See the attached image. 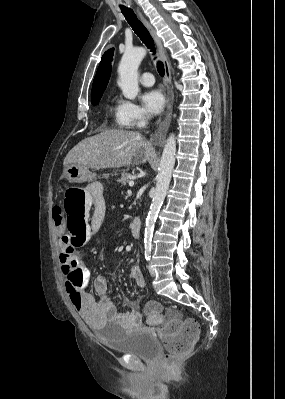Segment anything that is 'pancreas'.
Returning a JSON list of instances; mask_svg holds the SVG:
<instances>
[{"label": "pancreas", "instance_id": "1", "mask_svg": "<svg viewBox=\"0 0 285 399\" xmlns=\"http://www.w3.org/2000/svg\"><path fill=\"white\" fill-rule=\"evenodd\" d=\"M131 178H132V175L130 173L123 171L121 173L120 178L118 179V182L121 183L122 185H126L130 181Z\"/></svg>", "mask_w": 285, "mask_h": 399}]
</instances>
